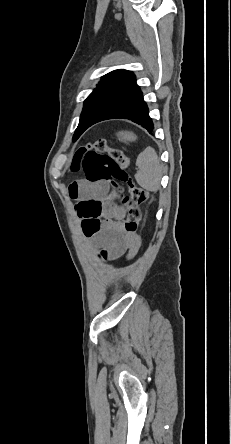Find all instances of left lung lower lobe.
Returning <instances> with one entry per match:
<instances>
[{
  "instance_id": "0a47b994",
  "label": "left lung lower lobe",
  "mask_w": 231,
  "mask_h": 444,
  "mask_svg": "<svg viewBox=\"0 0 231 444\" xmlns=\"http://www.w3.org/2000/svg\"><path fill=\"white\" fill-rule=\"evenodd\" d=\"M119 118L129 119L141 125L145 129H147L148 132L150 133L154 128L152 120L149 117L148 107L145 101L143 100V95L140 89L135 93V95L132 98H130L128 101L125 102V104L122 106V108L119 110L118 113L103 120L119 119Z\"/></svg>"
}]
</instances>
